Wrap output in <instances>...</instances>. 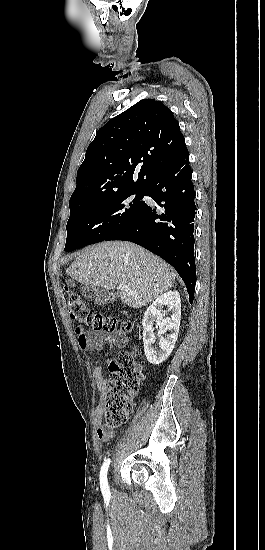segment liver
Wrapping results in <instances>:
<instances>
[{
    "mask_svg": "<svg viewBox=\"0 0 265 550\" xmlns=\"http://www.w3.org/2000/svg\"><path fill=\"white\" fill-rule=\"evenodd\" d=\"M81 284L111 290L125 284L117 294L129 307L141 308L174 284L175 272L161 258L127 241L101 242L84 248L66 270ZM134 292V294L129 293Z\"/></svg>",
    "mask_w": 265,
    "mask_h": 550,
    "instance_id": "liver-1",
    "label": "liver"
}]
</instances>
